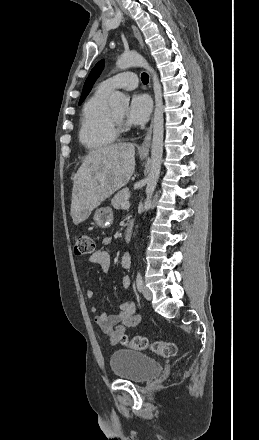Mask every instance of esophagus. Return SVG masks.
Here are the masks:
<instances>
[{"label": "esophagus", "instance_id": "34e87169", "mask_svg": "<svg viewBox=\"0 0 259 440\" xmlns=\"http://www.w3.org/2000/svg\"><path fill=\"white\" fill-rule=\"evenodd\" d=\"M132 28H133L134 34H135L136 38L138 39L141 47L144 48V42H143V38H142L140 31L138 30V28L136 26H133ZM151 138H152V122L150 124V127L147 130V133H146V136L144 138L143 143L139 147L140 154H148L149 149H150V145H151Z\"/></svg>", "mask_w": 259, "mask_h": 440}]
</instances>
